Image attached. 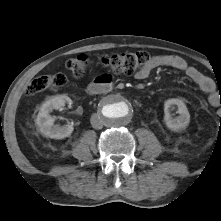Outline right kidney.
<instances>
[{"mask_svg":"<svg viewBox=\"0 0 221 221\" xmlns=\"http://www.w3.org/2000/svg\"><path fill=\"white\" fill-rule=\"evenodd\" d=\"M67 103H72L68 96L57 95L51 97L41 106L36 118V125L41 134L52 139H64L71 135L74 129L73 124L55 125V119L50 115L54 109H63Z\"/></svg>","mask_w":221,"mask_h":221,"instance_id":"1","label":"right kidney"}]
</instances>
